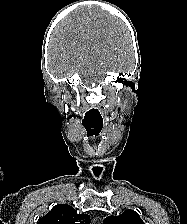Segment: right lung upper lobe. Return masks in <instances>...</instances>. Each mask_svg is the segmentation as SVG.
Returning <instances> with one entry per match:
<instances>
[{
	"instance_id": "obj_1",
	"label": "right lung upper lobe",
	"mask_w": 187,
	"mask_h": 224,
	"mask_svg": "<svg viewBox=\"0 0 187 224\" xmlns=\"http://www.w3.org/2000/svg\"><path fill=\"white\" fill-rule=\"evenodd\" d=\"M37 224H90L87 214H77L76 210L67 204H58L45 216L40 217Z\"/></svg>"
}]
</instances>
